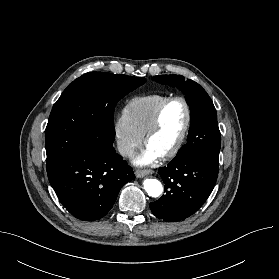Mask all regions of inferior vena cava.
<instances>
[{
	"label": "inferior vena cava",
	"mask_w": 279,
	"mask_h": 279,
	"mask_svg": "<svg viewBox=\"0 0 279 279\" xmlns=\"http://www.w3.org/2000/svg\"><path fill=\"white\" fill-rule=\"evenodd\" d=\"M117 151L122 156H133L135 153L134 148L121 140L117 141Z\"/></svg>",
	"instance_id": "1"
}]
</instances>
